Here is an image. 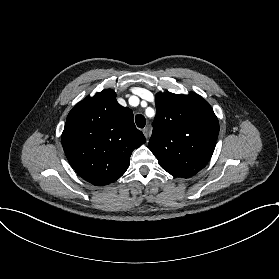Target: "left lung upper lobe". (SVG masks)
Masks as SVG:
<instances>
[{
    "label": "left lung upper lobe",
    "instance_id": "left-lung-upper-lobe-1",
    "mask_svg": "<svg viewBox=\"0 0 279 279\" xmlns=\"http://www.w3.org/2000/svg\"><path fill=\"white\" fill-rule=\"evenodd\" d=\"M149 149L173 176L189 178L209 162L219 134L211 106L199 95L158 93Z\"/></svg>",
    "mask_w": 279,
    "mask_h": 279
}]
</instances>
